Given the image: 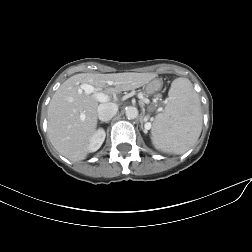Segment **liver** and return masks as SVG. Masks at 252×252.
<instances>
[{
	"instance_id": "liver-1",
	"label": "liver",
	"mask_w": 252,
	"mask_h": 252,
	"mask_svg": "<svg viewBox=\"0 0 252 252\" xmlns=\"http://www.w3.org/2000/svg\"><path fill=\"white\" fill-rule=\"evenodd\" d=\"M154 78L150 73H81L68 78L54 93L47 111V131L50 142L63 156L73 162L84 160L88 145L97 127L99 101L94 93L87 94L82 84L106 95L129 91L148 84ZM114 87H109V86Z\"/></svg>"
}]
</instances>
